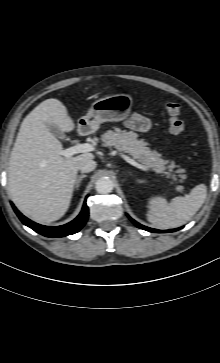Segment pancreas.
Here are the masks:
<instances>
[{"mask_svg": "<svg viewBox=\"0 0 220 363\" xmlns=\"http://www.w3.org/2000/svg\"><path fill=\"white\" fill-rule=\"evenodd\" d=\"M138 135L132 131L121 130L116 128L115 131H107L102 135V142L105 147H115L120 151H124L133 157V159L139 161L141 164L152 168L156 172L165 173L168 177L177 181L176 175L178 173L181 179L185 178L182 174V170L178 169L174 171V168H178L173 162L166 161L161 158L157 151L150 150L147 147V143L143 140L137 139ZM168 170V171H166Z\"/></svg>", "mask_w": 220, "mask_h": 363, "instance_id": "obj_1", "label": "pancreas"}]
</instances>
